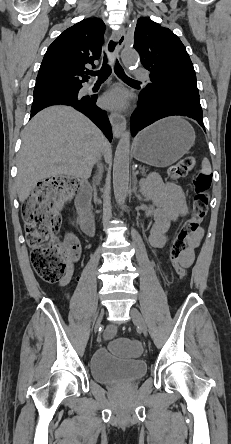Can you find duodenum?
I'll return each mask as SVG.
<instances>
[{
	"mask_svg": "<svg viewBox=\"0 0 231 444\" xmlns=\"http://www.w3.org/2000/svg\"><path fill=\"white\" fill-rule=\"evenodd\" d=\"M91 195V185L86 181L82 182L76 197V206L80 215L81 229L88 236L94 235V219L90 212Z\"/></svg>",
	"mask_w": 231,
	"mask_h": 444,
	"instance_id": "duodenum-1",
	"label": "duodenum"
}]
</instances>
